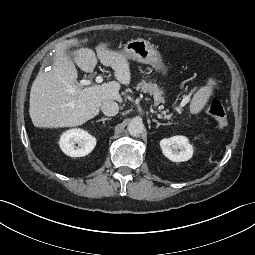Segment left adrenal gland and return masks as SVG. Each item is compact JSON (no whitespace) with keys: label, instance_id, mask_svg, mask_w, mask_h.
<instances>
[{"label":"left adrenal gland","instance_id":"obj_1","mask_svg":"<svg viewBox=\"0 0 255 255\" xmlns=\"http://www.w3.org/2000/svg\"><path fill=\"white\" fill-rule=\"evenodd\" d=\"M153 122H155L157 124L156 128H159L161 125H171V123H160L159 121H157L156 119H152Z\"/></svg>","mask_w":255,"mask_h":255}]
</instances>
